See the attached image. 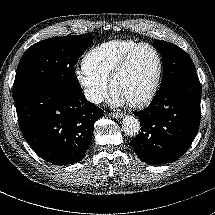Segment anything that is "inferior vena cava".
Segmentation results:
<instances>
[{
    "label": "inferior vena cava",
    "mask_w": 215,
    "mask_h": 215,
    "mask_svg": "<svg viewBox=\"0 0 215 215\" xmlns=\"http://www.w3.org/2000/svg\"><path fill=\"white\" fill-rule=\"evenodd\" d=\"M84 95L89 102L94 104H99L103 101V97L92 88L86 89Z\"/></svg>",
    "instance_id": "obj_1"
}]
</instances>
